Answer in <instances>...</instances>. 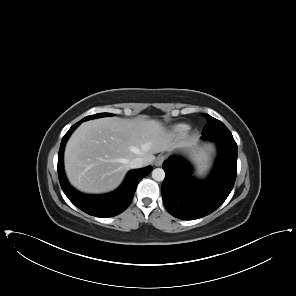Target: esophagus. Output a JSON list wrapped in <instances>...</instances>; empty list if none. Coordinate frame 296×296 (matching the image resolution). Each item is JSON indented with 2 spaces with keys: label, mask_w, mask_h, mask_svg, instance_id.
Listing matches in <instances>:
<instances>
[{
  "label": "esophagus",
  "mask_w": 296,
  "mask_h": 296,
  "mask_svg": "<svg viewBox=\"0 0 296 296\" xmlns=\"http://www.w3.org/2000/svg\"><path fill=\"white\" fill-rule=\"evenodd\" d=\"M165 159L166 157L164 155H159L155 160V165L161 166Z\"/></svg>",
  "instance_id": "esophagus-1"
}]
</instances>
